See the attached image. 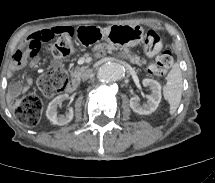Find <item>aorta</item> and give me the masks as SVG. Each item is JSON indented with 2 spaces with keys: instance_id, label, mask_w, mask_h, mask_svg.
<instances>
[{
  "instance_id": "1",
  "label": "aorta",
  "mask_w": 215,
  "mask_h": 183,
  "mask_svg": "<svg viewBox=\"0 0 215 183\" xmlns=\"http://www.w3.org/2000/svg\"><path fill=\"white\" fill-rule=\"evenodd\" d=\"M125 75V68L121 64L108 62L101 65L97 70V78L101 82H113L122 79Z\"/></svg>"
}]
</instances>
